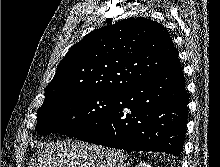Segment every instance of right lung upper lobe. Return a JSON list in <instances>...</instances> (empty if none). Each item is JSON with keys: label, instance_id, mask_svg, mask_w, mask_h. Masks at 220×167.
I'll return each instance as SVG.
<instances>
[{"label": "right lung upper lobe", "instance_id": "1", "mask_svg": "<svg viewBox=\"0 0 220 167\" xmlns=\"http://www.w3.org/2000/svg\"><path fill=\"white\" fill-rule=\"evenodd\" d=\"M181 67L169 32L147 18H128L96 29L70 48L45 90V101L64 93L123 89Z\"/></svg>", "mask_w": 220, "mask_h": 167}]
</instances>
